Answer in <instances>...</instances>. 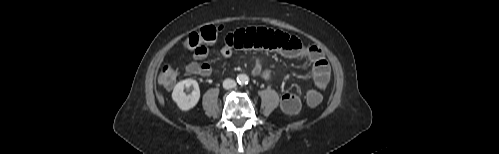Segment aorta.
<instances>
[{
    "mask_svg": "<svg viewBox=\"0 0 499 154\" xmlns=\"http://www.w3.org/2000/svg\"><path fill=\"white\" fill-rule=\"evenodd\" d=\"M239 84H247L249 81V77L245 74H241L237 78Z\"/></svg>",
    "mask_w": 499,
    "mask_h": 154,
    "instance_id": "1",
    "label": "aorta"
}]
</instances>
